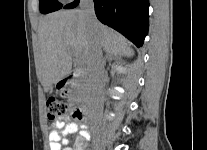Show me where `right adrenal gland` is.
<instances>
[{
    "mask_svg": "<svg viewBox=\"0 0 207 150\" xmlns=\"http://www.w3.org/2000/svg\"><path fill=\"white\" fill-rule=\"evenodd\" d=\"M113 55L112 54H106L105 59H104V63L106 64V62H110L113 60Z\"/></svg>",
    "mask_w": 207,
    "mask_h": 150,
    "instance_id": "1",
    "label": "right adrenal gland"
}]
</instances>
